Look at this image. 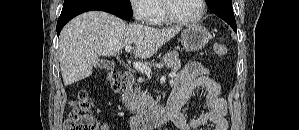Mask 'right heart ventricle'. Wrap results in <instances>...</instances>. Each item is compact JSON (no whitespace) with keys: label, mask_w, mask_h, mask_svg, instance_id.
I'll return each mask as SVG.
<instances>
[{"label":"right heart ventricle","mask_w":299,"mask_h":130,"mask_svg":"<svg viewBox=\"0 0 299 130\" xmlns=\"http://www.w3.org/2000/svg\"><path fill=\"white\" fill-rule=\"evenodd\" d=\"M152 12H153V17L150 20L151 24L161 25L166 22V18L163 13L162 1H156L152 5Z\"/></svg>","instance_id":"obj_1"}]
</instances>
